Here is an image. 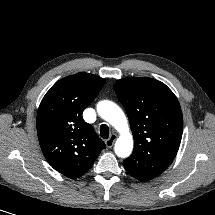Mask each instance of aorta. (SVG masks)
<instances>
[{"label":"aorta","mask_w":215,"mask_h":215,"mask_svg":"<svg viewBox=\"0 0 215 215\" xmlns=\"http://www.w3.org/2000/svg\"><path fill=\"white\" fill-rule=\"evenodd\" d=\"M97 112L120 133L114 147L116 155L128 157L133 149V137L121 108L112 101L103 100L97 104Z\"/></svg>","instance_id":"1"}]
</instances>
